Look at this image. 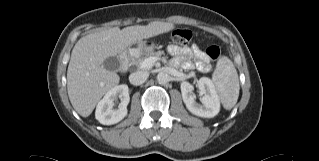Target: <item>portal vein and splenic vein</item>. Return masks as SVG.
Wrapping results in <instances>:
<instances>
[{
	"label": "portal vein and splenic vein",
	"instance_id": "1",
	"mask_svg": "<svg viewBox=\"0 0 319 161\" xmlns=\"http://www.w3.org/2000/svg\"><path fill=\"white\" fill-rule=\"evenodd\" d=\"M158 60V58L156 57H149L147 59H145L142 63H141V68H144V69H149L151 68L154 63Z\"/></svg>",
	"mask_w": 319,
	"mask_h": 161
}]
</instances>
